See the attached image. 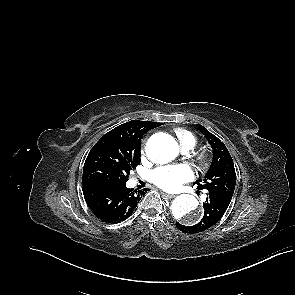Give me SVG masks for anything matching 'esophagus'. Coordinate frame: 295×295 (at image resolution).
<instances>
[{
    "instance_id": "obj_1",
    "label": "esophagus",
    "mask_w": 295,
    "mask_h": 295,
    "mask_svg": "<svg viewBox=\"0 0 295 295\" xmlns=\"http://www.w3.org/2000/svg\"><path fill=\"white\" fill-rule=\"evenodd\" d=\"M161 194H162L163 197L168 198V199H171V198L175 197V195H173V194H167L165 192H161Z\"/></svg>"
}]
</instances>
